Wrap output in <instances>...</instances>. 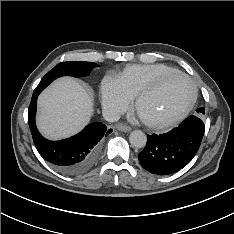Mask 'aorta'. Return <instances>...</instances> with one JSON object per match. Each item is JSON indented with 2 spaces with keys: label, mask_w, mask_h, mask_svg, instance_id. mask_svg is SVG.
<instances>
[{
  "label": "aorta",
  "mask_w": 234,
  "mask_h": 234,
  "mask_svg": "<svg viewBox=\"0 0 234 234\" xmlns=\"http://www.w3.org/2000/svg\"><path fill=\"white\" fill-rule=\"evenodd\" d=\"M129 141L133 147L142 148L146 145L147 137L142 131L134 130L130 133Z\"/></svg>",
  "instance_id": "762f6f07"
}]
</instances>
